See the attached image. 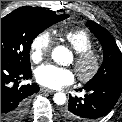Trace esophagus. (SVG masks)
<instances>
[{
    "instance_id": "34e87169",
    "label": "esophagus",
    "mask_w": 122,
    "mask_h": 122,
    "mask_svg": "<svg viewBox=\"0 0 122 122\" xmlns=\"http://www.w3.org/2000/svg\"><path fill=\"white\" fill-rule=\"evenodd\" d=\"M41 91H42V92H47V93H54V92H55L54 90L48 89V88H45V87H42V88H41Z\"/></svg>"
}]
</instances>
